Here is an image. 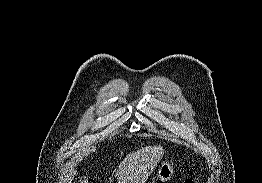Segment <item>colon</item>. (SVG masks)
Here are the masks:
<instances>
[{
  "mask_svg": "<svg viewBox=\"0 0 262 183\" xmlns=\"http://www.w3.org/2000/svg\"><path fill=\"white\" fill-rule=\"evenodd\" d=\"M80 183H95L93 180H90V179H83L81 180ZM181 183H195L194 180L192 179H189V178H185L181 181Z\"/></svg>",
  "mask_w": 262,
  "mask_h": 183,
  "instance_id": "obj_1",
  "label": "colon"
}]
</instances>
